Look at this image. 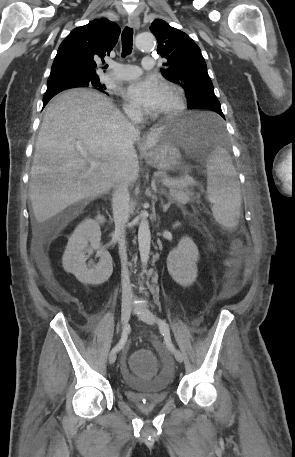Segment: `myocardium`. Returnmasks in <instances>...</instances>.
Here are the masks:
<instances>
[{"label": "myocardium", "instance_id": "1", "mask_svg": "<svg viewBox=\"0 0 295 457\" xmlns=\"http://www.w3.org/2000/svg\"><path fill=\"white\" fill-rule=\"evenodd\" d=\"M164 89L171 92L174 101L173 104L166 110L156 113L154 118H171L179 114L186 106L185 95L181 87L173 83H164Z\"/></svg>", "mask_w": 295, "mask_h": 457}]
</instances>
